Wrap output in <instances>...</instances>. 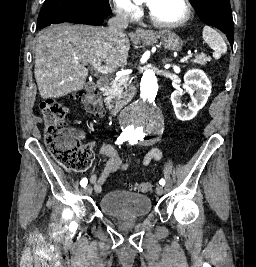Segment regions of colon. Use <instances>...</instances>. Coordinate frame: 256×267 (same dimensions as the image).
<instances>
[{
	"instance_id": "colon-1",
	"label": "colon",
	"mask_w": 256,
	"mask_h": 267,
	"mask_svg": "<svg viewBox=\"0 0 256 267\" xmlns=\"http://www.w3.org/2000/svg\"><path fill=\"white\" fill-rule=\"evenodd\" d=\"M76 99L89 114L102 113V101L98 96L82 91L76 94ZM40 108L45 116L47 148L54 159L68 168L86 169L91 163L93 153L89 146L75 143V131L66 127L64 119L68 114L67 106L60 101L49 99L42 101ZM127 188L145 193L151 192L154 184L151 182L128 183Z\"/></svg>"
}]
</instances>
